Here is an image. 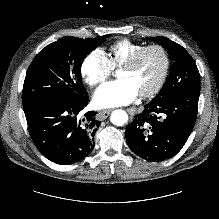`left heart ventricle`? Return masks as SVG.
<instances>
[{"mask_svg":"<svg viewBox=\"0 0 219 219\" xmlns=\"http://www.w3.org/2000/svg\"><path fill=\"white\" fill-rule=\"evenodd\" d=\"M163 57L158 50L146 52L135 67L120 69L117 73L119 79L128 80L138 93L150 89L160 77L163 69Z\"/></svg>","mask_w":219,"mask_h":219,"instance_id":"b2bd125f","label":"left heart ventricle"}]
</instances>
